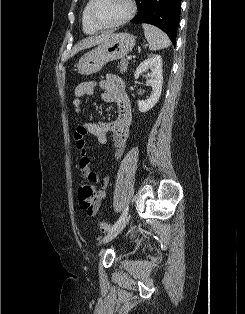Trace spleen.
<instances>
[{"label": "spleen", "instance_id": "3e777b00", "mask_svg": "<svg viewBox=\"0 0 245 314\" xmlns=\"http://www.w3.org/2000/svg\"><path fill=\"white\" fill-rule=\"evenodd\" d=\"M145 38L149 43V49L152 51L167 48L171 45L168 36L159 28L143 23Z\"/></svg>", "mask_w": 245, "mask_h": 314}]
</instances>
